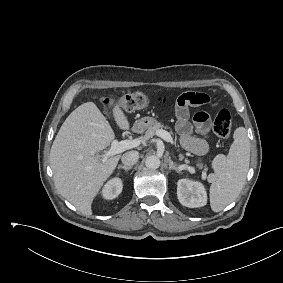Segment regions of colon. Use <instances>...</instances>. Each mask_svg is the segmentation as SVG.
<instances>
[{"label":"colon","instance_id":"colon-1","mask_svg":"<svg viewBox=\"0 0 283 283\" xmlns=\"http://www.w3.org/2000/svg\"><path fill=\"white\" fill-rule=\"evenodd\" d=\"M147 96L142 92H133L123 96L119 101L118 105L129 112H134L144 108L147 105ZM106 107H110L111 101H105ZM231 114L227 109L220 110L213 123L214 133L221 138L228 137L231 132Z\"/></svg>","mask_w":283,"mask_h":283}]
</instances>
